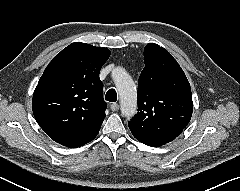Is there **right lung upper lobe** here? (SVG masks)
Instances as JSON below:
<instances>
[{"label":"right lung upper lobe","mask_w":240,"mask_h":191,"mask_svg":"<svg viewBox=\"0 0 240 191\" xmlns=\"http://www.w3.org/2000/svg\"><path fill=\"white\" fill-rule=\"evenodd\" d=\"M109 55L106 48L75 42L43 72L32 109L40 127L57 143L76 148L98 134L107 107L99 72Z\"/></svg>","instance_id":"1"}]
</instances>
